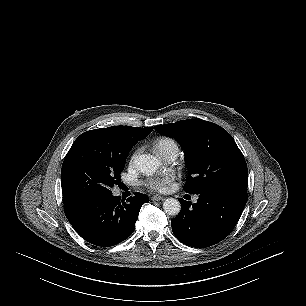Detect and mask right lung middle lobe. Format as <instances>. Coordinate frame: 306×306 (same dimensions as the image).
<instances>
[{
	"label": "right lung middle lobe",
	"mask_w": 306,
	"mask_h": 306,
	"mask_svg": "<svg viewBox=\"0 0 306 306\" xmlns=\"http://www.w3.org/2000/svg\"><path fill=\"white\" fill-rule=\"evenodd\" d=\"M132 146L108 145L101 140H75L61 170L63 200L77 204L111 194L119 182Z\"/></svg>",
	"instance_id": "1"
}]
</instances>
